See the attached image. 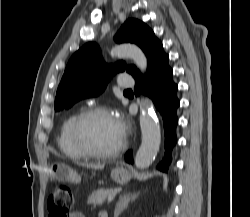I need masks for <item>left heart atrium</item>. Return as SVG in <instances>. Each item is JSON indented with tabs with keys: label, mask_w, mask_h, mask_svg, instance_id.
<instances>
[{
	"label": "left heart atrium",
	"mask_w": 250,
	"mask_h": 217,
	"mask_svg": "<svg viewBox=\"0 0 250 217\" xmlns=\"http://www.w3.org/2000/svg\"><path fill=\"white\" fill-rule=\"evenodd\" d=\"M116 122H117V125H118L122 135H124L125 131H126V125H125L124 121L120 118H116Z\"/></svg>",
	"instance_id": "39dd6f15"
}]
</instances>
